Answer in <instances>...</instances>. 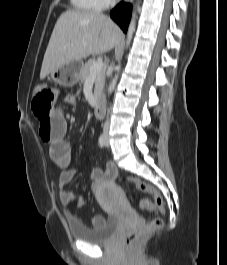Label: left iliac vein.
<instances>
[{"label":"left iliac vein","mask_w":227,"mask_h":265,"mask_svg":"<svg viewBox=\"0 0 227 265\" xmlns=\"http://www.w3.org/2000/svg\"><path fill=\"white\" fill-rule=\"evenodd\" d=\"M105 145L108 147L109 146V137L108 134L105 136Z\"/></svg>","instance_id":"left-iliac-vein-1"}]
</instances>
